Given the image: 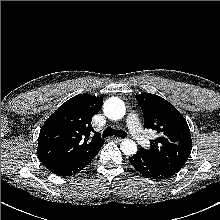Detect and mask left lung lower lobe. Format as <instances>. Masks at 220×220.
Masks as SVG:
<instances>
[{
  "mask_svg": "<svg viewBox=\"0 0 220 220\" xmlns=\"http://www.w3.org/2000/svg\"><path fill=\"white\" fill-rule=\"evenodd\" d=\"M129 160L132 165L147 178H169L179 171L163 166L140 152H137L134 156L130 157Z\"/></svg>",
  "mask_w": 220,
  "mask_h": 220,
  "instance_id": "obj_1",
  "label": "left lung lower lobe"
}]
</instances>
